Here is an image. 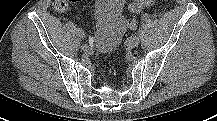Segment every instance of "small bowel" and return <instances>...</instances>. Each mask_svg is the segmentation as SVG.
Wrapping results in <instances>:
<instances>
[{
  "instance_id": "1",
  "label": "small bowel",
  "mask_w": 217,
  "mask_h": 121,
  "mask_svg": "<svg viewBox=\"0 0 217 121\" xmlns=\"http://www.w3.org/2000/svg\"><path fill=\"white\" fill-rule=\"evenodd\" d=\"M155 0H133L128 5L132 14H138L150 8ZM126 7V0H96L94 13L97 22L98 48L102 52L114 49L121 41L127 30L137 28L135 17L126 18L123 11Z\"/></svg>"
}]
</instances>
